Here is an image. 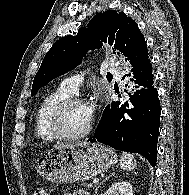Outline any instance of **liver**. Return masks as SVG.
Listing matches in <instances>:
<instances>
[{
	"label": "liver",
	"mask_w": 189,
	"mask_h": 195,
	"mask_svg": "<svg viewBox=\"0 0 189 195\" xmlns=\"http://www.w3.org/2000/svg\"><path fill=\"white\" fill-rule=\"evenodd\" d=\"M70 145H55L54 149H60V148H64V147H68Z\"/></svg>",
	"instance_id": "liver-1"
}]
</instances>
